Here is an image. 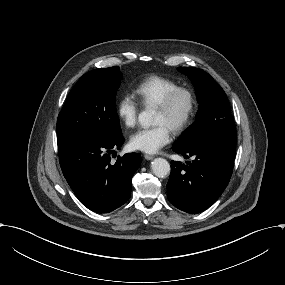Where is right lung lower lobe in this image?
<instances>
[{
	"label": "right lung lower lobe",
	"instance_id": "98d812e1",
	"mask_svg": "<svg viewBox=\"0 0 285 285\" xmlns=\"http://www.w3.org/2000/svg\"><path fill=\"white\" fill-rule=\"evenodd\" d=\"M57 141L63 175L88 209L108 213L130 198L132 176L141 164V157L127 153L112 165L110 154H114L115 149L120 150L123 136H84Z\"/></svg>",
	"mask_w": 285,
	"mask_h": 285
}]
</instances>
